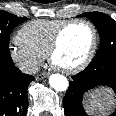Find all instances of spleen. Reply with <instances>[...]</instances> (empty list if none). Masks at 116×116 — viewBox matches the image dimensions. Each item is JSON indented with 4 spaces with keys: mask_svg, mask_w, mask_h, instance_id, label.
Listing matches in <instances>:
<instances>
[{
    "mask_svg": "<svg viewBox=\"0 0 116 116\" xmlns=\"http://www.w3.org/2000/svg\"><path fill=\"white\" fill-rule=\"evenodd\" d=\"M87 103L88 112L100 113L103 115L106 113L105 111L111 108L113 100L108 94L97 90L90 95Z\"/></svg>",
    "mask_w": 116,
    "mask_h": 116,
    "instance_id": "obj_1",
    "label": "spleen"
}]
</instances>
